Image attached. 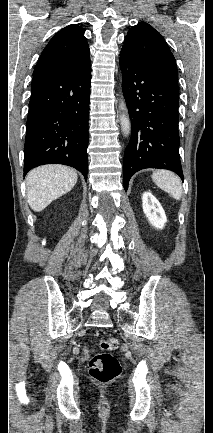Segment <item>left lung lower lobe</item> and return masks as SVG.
<instances>
[{"label": "left lung lower lobe", "mask_w": 213, "mask_h": 433, "mask_svg": "<svg viewBox=\"0 0 213 433\" xmlns=\"http://www.w3.org/2000/svg\"><path fill=\"white\" fill-rule=\"evenodd\" d=\"M120 66L132 123V135L123 160L125 191L131 176L144 168L168 169L183 180L179 155L178 84L150 72L122 51Z\"/></svg>", "instance_id": "0a47b994"}]
</instances>
